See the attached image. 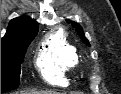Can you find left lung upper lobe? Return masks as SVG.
<instances>
[{
  "label": "left lung upper lobe",
  "instance_id": "5c2ea615",
  "mask_svg": "<svg viewBox=\"0 0 121 94\" xmlns=\"http://www.w3.org/2000/svg\"><path fill=\"white\" fill-rule=\"evenodd\" d=\"M72 26L75 27V29H76L78 35L81 37L82 41L84 43H86L88 46H90L88 40L84 36V33H83L81 26L79 24L75 23V22H72Z\"/></svg>",
  "mask_w": 121,
  "mask_h": 94
}]
</instances>
